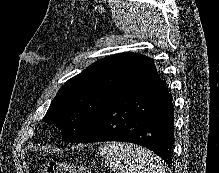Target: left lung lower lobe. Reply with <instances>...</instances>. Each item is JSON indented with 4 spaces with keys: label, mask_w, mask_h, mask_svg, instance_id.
Instances as JSON below:
<instances>
[{
    "label": "left lung lower lobe",
    "mask_w": 219,
    "mask_h": 173,
    "mask_svg": "<svg viewBox=\"0 0 219 173\" xmlns=\"http://www.w3.org/2000/svg\"><path fill=\"white\" fill-rule=\"evenodd\" d=\"M122 141L144 146L172 163V95L149 58L136 81L106 105L74 142Z\"/></svg>",
    "instance_id": "obj_1"
}]
</instances>
